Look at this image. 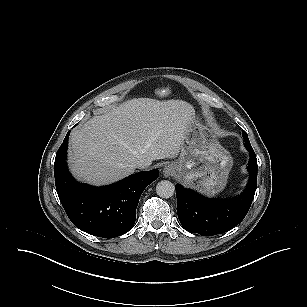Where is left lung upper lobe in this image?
Instances as JSON below:
<instances>
[{
  "label": "left lung upper lobe",
  "instance_id": "obj_1",
  "mask_svg": "<svg viewBox=\"0 0 307 307\" xmlns=\"http://www.w3.org/2000/svg\"><path fill=\"white\" fill-rule=\"evenodd\" d=\"M242 136L244 138L245 145L251 146L249 139H248V136H247V133L244 130L242 131Z\"/></svg>",
  "mask_w": 307,
  "mask_h": 307
}]
</instances>
